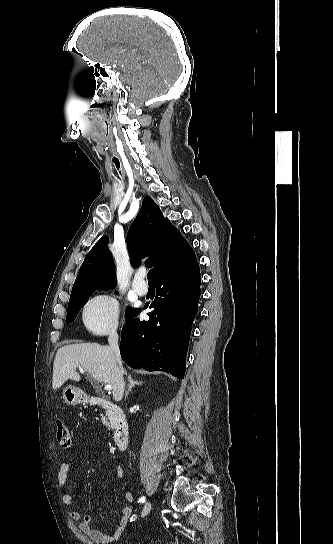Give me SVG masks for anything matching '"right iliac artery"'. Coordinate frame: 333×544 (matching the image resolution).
I'll return each instance as SVG.
<instances>
[{
	"mask_svg": "<svg viewBox=\"0 0 333 544\" xmlns=\"http://www.w3.org/2000/svg\"><path fill=\"white\" fill-rule=\"evenodd\" d=\"M145 502V498L144 497H141L138 501V503H144ZM134 520V517H131V520L130 521H133Z\"/></svg>",
	"mask_w": 333,
	"mask_h": 544,
	"instance_id": "1",
	"label": "right iliac artery"
}]
</instances>
